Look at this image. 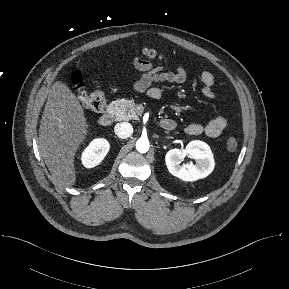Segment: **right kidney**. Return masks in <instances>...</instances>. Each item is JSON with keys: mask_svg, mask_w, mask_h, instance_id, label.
Masks as SVG:
<instances>
[{"mask_svg": "<svg viewBox=\"0 0 289 289\" xmlns=\"http://www.w3.org/2000/svg\"><path fill=\"white\" fill-rule=\"evenodd\" d=\"M110 145L104 138H97L90 142V144L83 151L81 160L86 168H93L97 166L107 155Z\"/></svg>", "mask_w": 289, "mask_h": 289, "instance_id": "1", "label": "right kidney"}]
</instances>
